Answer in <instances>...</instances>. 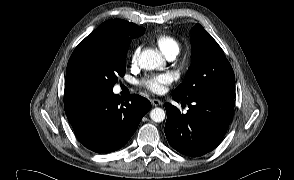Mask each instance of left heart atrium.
Here are the masks:
<instances>
[{
	"label": "left heart atrium",
	"instance_id": "obj_1",
	"mask_svg": "<svg viewBox=\"0 0 294 180\" xmlns=\"http://www.w3.org/2000/svg\"><path fill=\"white\" fill-rule=\"evenodd\" d=\"M171 78L167 74H161L157 76H151L143 79L141 85L153 93H162L165 90V86L170 83Z\"/></svg>",
	"mask_w": 294,
	"mask_h": 180
}]
</instances>
